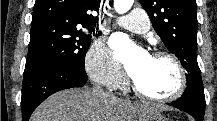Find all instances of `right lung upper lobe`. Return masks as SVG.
I'll use <instances>...</instances> for the list:
<instances>
[{
  "label": "right lung upper lobe",
  "instance_id": "1",
  "mask_svg": "<svg viewBox=\"0 0 217 121\" xmlns=\"http://www.w3.org/2000/svg\"><path fill=\"white\" fill-rule=\"evenodd\" d=\"M100 2L101 0H36L31 25L57 22L93 28L97 17L89 12H99Z\"/></svg>",
  "mask_w": 217,
  "mask_h": 121
}]
</instances>
